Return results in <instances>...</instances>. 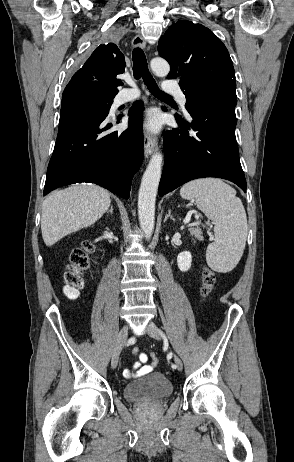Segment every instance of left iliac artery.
Instances as JSON below:
<instances>
[{
	"label": "left iliac artery",
	"mask_w": 294,
	"mask_h": 462,
	"mask_svg": "<svg viewBox=\"0 0 294 462\" xmlns=\"http://www.w3.org/2000/svg\"><path fill=\"white\" fill-rule=\"evenodd\" d=\"M160 333H161V335H162L163 337H165V335H164L161 331H160ZM166 356H167V357H166L167 360L170 361V360H172V358L174 357V354H173L171 351H168ZM169 363H170V362H169ZM172 368H173V369H176V366L173 364V365H172Z\"/></svg>",
	"instance_id": "44dca946"
}]
</instances>
